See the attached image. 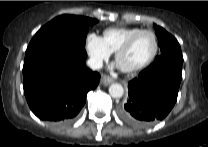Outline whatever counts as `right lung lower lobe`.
I'll return each mask as SVG.
<instances>
[{
    "mask_svg": "<svg viewBox=\"0 0 208 147\" xmlns=\"http://www.w3.org/2000/svg\"><path fill=\"white\" fill-rule=\"evenodd\" d=\"M85 45L66 35L31 43L25 52L23 88L32 112L41 120L71 121L95 89L100 75L85 66Z\"/></svg>",
    "mask_w": 208,
    "mask_h": 147,
    "instance_id": "right-lung-lower-lobe-1",
    "label": "right lung lower lobe"
}]
</instances>
